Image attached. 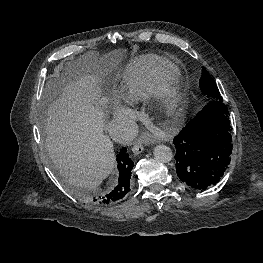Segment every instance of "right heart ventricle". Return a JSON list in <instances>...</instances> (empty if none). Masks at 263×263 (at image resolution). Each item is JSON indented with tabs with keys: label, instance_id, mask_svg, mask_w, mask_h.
Listing matches in <instances>:
<instances>
[{
	"label": "right heart ventricle",
	"instance_id": "obj_1",
	"mask_svg": "<svg viewBox=\"0 0 263 263\" xmlns=\"http://www.w3.org/2000/svg\"><path fill=\"white\" fill-rule=\"evenodd\" d=\"M176 74V67L167 60L154 57L136 59L121 75L123 94L131 102L143 101L151 96L160 80Z\"/></svg>",
	"mask_w": 263,
	"mask_h": 263
}]
</instances>
